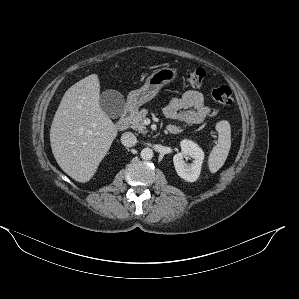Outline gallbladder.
Instances as JSON below:
<instances>
[{
  "instance_id": "gallbladder-1",
  "label": "gallbladder",
  "mask_w": 299,
  "mask_h": 299,
  "mask_svg": "<svg viewBox=\"0 0 299 299\" xmlns=\"http://www.w3.org/2000/svg\"><path fill=\"white\" fill-rule=\"evenodd\" d=\"M99 103L101 109L112 119H117L124 113L125 99L119 91L113 89L103 91Z\"/></svg>"
}]
</instances>
